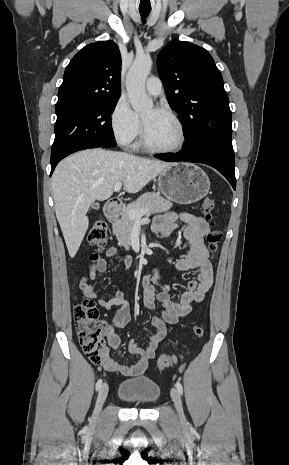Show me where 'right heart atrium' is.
<instances>
[{
  "mask_svg": "<svg viewBox=\"0 0 289 465\" xmlns=\"http://www.w3.org/2000/svg\"><path fill=\"white\" fill-rule=\"evenodd\" d=\"M110 127L114 139L123 147L131 146L141 134L140 117L123 98L111 110Z\"/></svg>",
  "mask_w": 289,
  "mask_h": 465,
  "instance_id": "right-heart-atrium-1",
  "label": "right heart atrium"
}]
</instances>
